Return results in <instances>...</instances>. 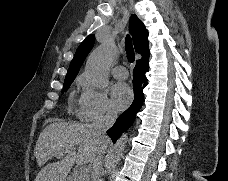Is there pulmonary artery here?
<instances>
[{
  "instance_id": "1",
  "label": "pulmonary artery",
  "mask_w": 228,
  "mask_h": 181,
  "mask_svg": "<svg viewBox=\"0 0 228 181\" xmlns=\"http://www.w3.org/2000/svg\"><path fill=\"white\" fill-rule=\"evenodd\" d=\"M112 46H116V45L113 44ZM126 73H127L126 69L122 66L117 67L114 70V74L116 75L117 79H129V74H126Z\"/></svg>"
}]
</instances>
